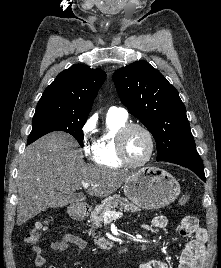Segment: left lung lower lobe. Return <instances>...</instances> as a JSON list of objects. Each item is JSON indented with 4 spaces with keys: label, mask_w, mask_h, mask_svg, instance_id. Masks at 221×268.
Masks as SVG:
<instances>
[{
    "label": "left lung lower lobe",
    "mask_w": 221,
    "mask_h": 268,
    "mask_svg": "<svg viewBox=\"0 0 221 268\" xmlns=\"http://www.w3.org/2000/svg\"><path fill=\"white\" fill-rule=\"evenodd\" d=\"M165 161L186 167L196 173L203 181L206 180L203 163L196 148L177 153Z\"/></svg>",
    "instance_id": "1"
}]
</instances>
